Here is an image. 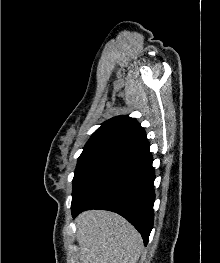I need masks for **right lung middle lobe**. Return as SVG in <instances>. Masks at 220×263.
<instances>
[{
  "instance_id": "right-lung-middle-lobe-1",
  "label": "right lung middle lobe",
  "mask_w": 220,
  "mask_h": 263,
  "mask_svg": "<svg viewBox=\"0 0 220 263\" xmlns=\"http://www.w3.org/2000/svg\"><path fill=\"white\" fill-rule=\"evenodd\" d=\"M117 153L114 151L82 152L73 178L72 203L76 202L92 178Z\"/></svg>"
}]
</instances>
